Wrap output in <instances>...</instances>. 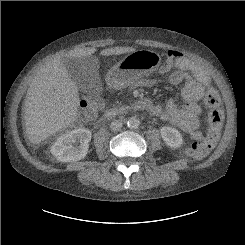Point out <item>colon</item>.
<instances>
[{
	"label": "colon",
	"instance_id": "1",
	"mask_svg": "<svg viewBox=\"0 0 245 245\" xmlns=\"http://www.w3.org/2000/svg\"><path fill=\"white\" fill-rule=\"evenodd\" d=\"M182 56L183 55L178 51L170 50L167 52V57L171 62L180 60ZM102 101V97L97 94L86 96L83 100L76 125L84 126L91 122L95 118ZM205 103L212 110L210 113V131L204 138L196 140L190 146L183 148L180 152L184 157L193 159L205 157L212 150L220 136L223 114L218 110L220 96L214 88H208L205 96Z\"/></svg>",
	"mask_w": 245,
	"mask_h": 245
}]
</instances>
